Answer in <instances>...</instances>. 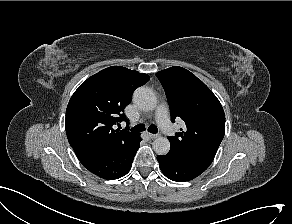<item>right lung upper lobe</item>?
Wrapping results in <instances>:
<instances>
[{"label": "right lung upper lobe", "instance_id": "1", "mask_svg": "<svg viewBox=\"0 0 292 224\" xmlns=\"http://www.w3.org/2000/svg\"><path fill=\"white\" fill-rule=\"evenodd\" d=\"M147 74L122 66L106 68L88 78L72 95L65 129L71 147H110L132 143L139 133L114 129L125 121L124 108L134 90L149 81Z\"/></svg>", "mask_w": 292, "mask_h": 224}]
</instances>
